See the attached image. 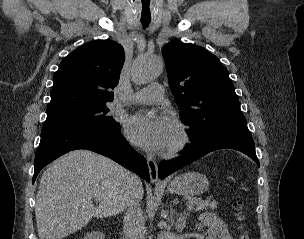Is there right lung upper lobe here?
<instances>
[{
  "label": "right lung upper lobe",
  "mask_w": 304,
  "mask_h": 239,
  "mask_svg": "<svg viewBox=\"0 0 304 239\" xmlns=\"http://www.w3.org/2000/svg\"><path fill=\"white\" fill-rule=\"evenodd\" d=\"M123 47L110 40L88 42L65 57L53 77L47 116L106 105L124 64Z\"/></svg>",
  "instance_id": "obj_1"
}]
</instances>
